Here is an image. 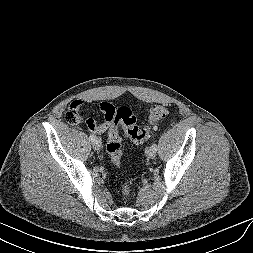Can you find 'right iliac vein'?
<instances>
[{
	"mask_svg": "<svg viewBox=\"0 0 253 253\" xmlns=\"http://www.w3.org/2000/svg\"><path fill=\"white\" fill-rule=\"evenodd\" d=\"M92 147H93V149H95V150H100L101 147H102L101 139H100V138H95V139L92 141Z\"/></svg>",
	"mask_w": 253,
	"mask_h": 253,
	"instance_id": "right-iliac-vein-1",
	"label": "right iliac vein"
}]
</instances>
